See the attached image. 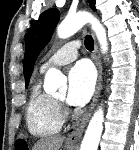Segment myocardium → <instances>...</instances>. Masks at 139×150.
I'll return each instance as SVG.
<instances>
[{
    "mask_svg": "<svg viewBox=\"0 0 139 150\" xmlns=\"http://www.w3.org/2000/svg\"><path fill=\"white\" fill-rule=\"evenodd\" d=\"M54 100H55L56 104L59 107V111H60L62 119H64L67 116V110L65 108L64 100H60V99H57V98H54Z\"/></svg>",
    "mask_w": 139,
    "mask_h": 150,
    "instance_id": "1",
    "label": "myocardium"
}]
</instances>
